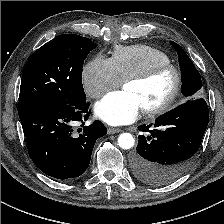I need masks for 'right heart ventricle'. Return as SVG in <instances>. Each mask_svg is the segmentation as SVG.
<instances>
[{"mask_svg": "<svg viewBox=\"0 0 224 224\" xmlns=\"http://www.w3.org/2000/svg\"><path fill=\"white\" fill-rule=\"evenodd\" d=\"M111 61L122 81L156 64L170 63L163 51L147 45L116 46Z\"/></svg>", "mask_w": 224, "mask_h": 224, "instance_id": "obj_1", "label": "right heart ventricle"}]
</instances>
